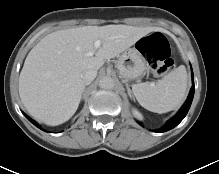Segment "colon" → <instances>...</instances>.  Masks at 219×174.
Segmentation results:
<instances>
[{
  "instance_id": "colon-1",
  "label": "colon",
  "mask_w": 219,
  "mask_h": 174,
  "mask_svg": "<svg viewBox=\"0 0 219 174\" xmlns=\"http://www.w3.org/2000/svg\"><path fill=\"white\" fill-rule=\"evenodd\" d=\"M137 48L154 74L163 76L171 69V50L163 34L156 32L143 37L138 41Z\"/></svg>"
}]
</instances>
